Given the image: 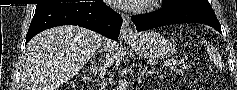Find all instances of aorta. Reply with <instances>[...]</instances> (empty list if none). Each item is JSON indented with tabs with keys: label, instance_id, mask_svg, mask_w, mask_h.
Masks as SVG:
<instances>
[{
	"label": "aorta",
	"instance_id": "obj_1",
	"mask_svg": "<svg viewBox=\"0 0 237 90\" xmlns=\"http://www.w3.org/2000/svg\"><path fill=\"white\" fill-rule=\"evenodd\" d=\"M116 90H127L126 82H118Z\"/></svg>",
	"mask_w": 237,
	"mask_h": 90
}]
</instances>
